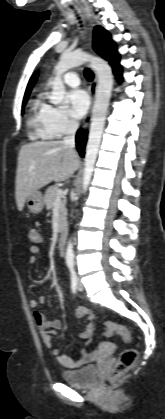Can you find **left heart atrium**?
<instances>
[{"mask_svg":"<svg viewBox=\"0 0 165 419\" xmlns=\"http://www.w3.org/2000/svg\"><path fill=\"white\" fill-rule=\"evenodd\" d=\"M69 111L77 119L82 118L89 108V96L82 89H74L67 95Z\"/></svg>","mask_w":165,"mask_h":419,"instance_id":"39dd6f15","label":"left heart atrium"}]
</instances>
